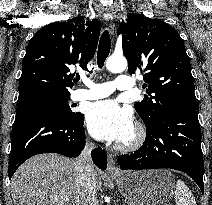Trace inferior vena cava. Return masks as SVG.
<instances>
[{"mask_svg": "<svg viewBox=\"0 0 212 205\" xmlns=\"http://www.w3.org/2000/svg\"><path fill=\"white\" fill-rule=\"evenodd\" d=\"M94 147V143L87 142L75 162L78 205H98L95 172L91 159V150Z\"/></svg>", "mask_w": 212, "mask_h": 205, "instance_id": "inferior-vena-cava-1", "label": "inferior vena cava"}]
</instances>
